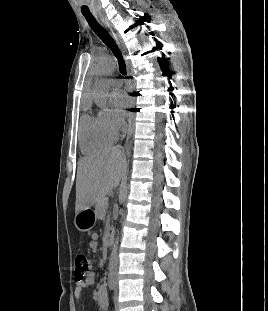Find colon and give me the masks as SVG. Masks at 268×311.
Returning a JSON list of instances; mask_svg holds the SVG:
<instances>
[{
	"label": "colon",
	"mask_w": 268,
	"mask_h": 311,
	"mask_svg": "<svg viewBox=\"0 0 268 311\" xmlns=\"http://www.w3.org/2000/svg\"><path fill=\"white\" fill-rule=\"evenodd\" d=\"M90 272V262L87 256L79 253L75 257V280H82Z\"/></svg>",
	"instance_id": "colon-1"
}]
</instances>
